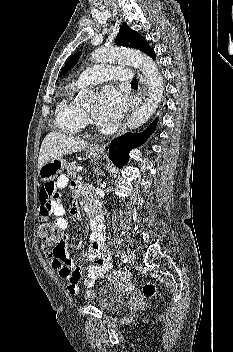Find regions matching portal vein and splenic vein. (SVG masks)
<instances>
[{
    "mask_svg": "<svg viewBox=\"0 0 233 352\" xmlns=\"http://www.w3.org/2000/svg\"><path fill=\"white\" fill-rule=\"evenodd\" d=\"M81 170H82V168H80V167L77 169L78 172L81 171Z\"/></svg>",
    "mask_w": 233,
    "mask_h": 352,
    "instance_id": "1",
    "label": "portal vein and splenic vein"
}]
</instances>
